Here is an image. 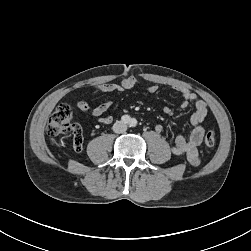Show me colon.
I'll use <instances>...</instances> for the list:
<instances>
[{"label":"colon","instance_id":"obj_1","mask_svg":"<svg viewBox=\"0 0 251 251\" xmlns=\"http://www.w3.org/2000/svg\"><path fill=\"white\" fill-rule=\"evenodd\" d=\"M47 133L53 143L62 134H73L74 145L78 146L82 143V131L80 127L73 122V111L70 105L60 104L50 116ZM205 145L214 147L216 144V133L209 130L204 137Z\"/></svg>","mask_w":251,"mask_h":251}]
</instances>
